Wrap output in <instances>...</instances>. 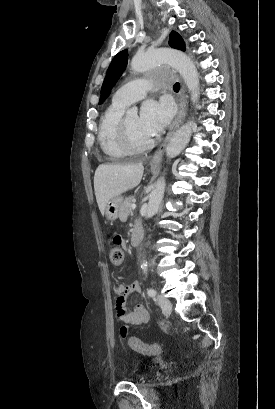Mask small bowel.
I'll list each match as a JSON object with an SVG mask.
<instances>
[{
	"label": "small bowel",
	"instance_id": "c3829d8e",
	"mask_svg": "<svg viewBox=\"0 0 275 409\" xmlns=\"http://www.w3.org/2000/svg\"><path fill=\"white\" fill-rule=\"evenodd\" d=\"M140 291H141L140 282H135L129 287H126L121 284L117 285V287L115 288V292L118 297H117V306L115 307V312L118 313V318L120 320L131 323V324H136V325L147 324L149 322L150 314L146 306H144L143 304L138 303L130 308L124 307V304L126 303V301L130 297L138 294ZM122 332L128 333L129 327L123 326ZM119 345L125 346L126 340L120 339Z\"/></svg>",
	"mask_w": 275,
	"mask_h": 409
}]
</instances>
